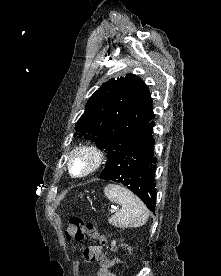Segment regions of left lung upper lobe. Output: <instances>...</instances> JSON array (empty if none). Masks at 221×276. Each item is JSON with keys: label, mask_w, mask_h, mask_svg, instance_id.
<instances>
[{"label": "left lung upper lobe", "mask_w": 221, "mask_h": 276, "mask_svg": "<svg viewBox=\"0 0 221 276\" xmlns=\"http://www.w3.org/2000/svg\"><path fill=\"white\" fill-rule=\"evenodd\" d=\"M154 118L145 83L133 74L110 79L88 100L75 126V136L95 142L109 159L134 142Z\"/></svg>", "instance_id": "obj_1"}]
</instances>
